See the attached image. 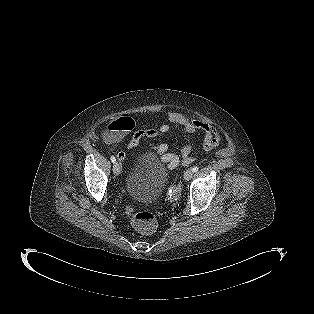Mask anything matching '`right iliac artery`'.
<instances>
[{
    "label": "right iliac artery",
    "instance_id": "obj_1",
    "mask_svg": "<svg viewBox=\"0 0 314 314\" xmlns=\"http://www.w3.org/2000/svg\"><path fill=\"white\" fill-rule=\"evenodd\" d=\"M110 159H111V161H112L113 163H115L116 159H115L114 156H111Z\"/></svg>",
    "mask_w": 314,
    "mask_h": 314
}]
</instances>
